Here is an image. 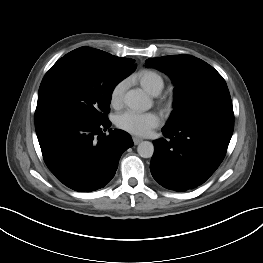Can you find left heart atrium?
<instances>
[{
	"label": "left heart atrium",
	"instance_id": "39dd6f15",
	"mask_svg": "<svg viewBox=\"0 0 263 263\" xmlns=\"http://www.w3.org/2000/svg\"><path fill=\"white\" fill-rule=\"evenodd\" d=\"M115 124L128 133L146 136L160 124V118L154 112L139 113L127 110L115 117Z\"/></svg>",
	"mask_w": 263,
	"mask_h": 263
}]
</instances>
